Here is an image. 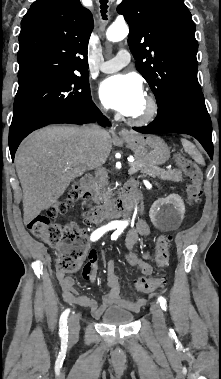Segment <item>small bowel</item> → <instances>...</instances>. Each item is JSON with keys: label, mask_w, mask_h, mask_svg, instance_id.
Wrapping results in <instances>:
<instances>
[{"label": "small bowel", "mask_w": 221, "mask_h": 379, "mask_svg": "<svg viewBox=\"0 0 221 379\" xmlns=\"http://www.w3.org/2000/svg\"><path fill=\"white\" fill-rule=\"evenodd\" d=\"M150 234V227L145 220L140 219L131 229H129L125 238V247L128 250V254L126 256L128 262L131 265L138 267L144 275H150L153 272V268L148 261L150 253L149 251L138 253L136 250V245L139 236H149ZM99 260L100 253H97L95 250H90L88 264H83L80 269L81 274H85L83 276L86 282L95 283L97 271L99 270ZM57 279L62 290L63 299L68 303L77 304L90 309L92 315L96 318L100 317L111 305H120L135 311L138 310L144 303V300L142 299L130 301L121 297L120 281L112 259L107 262L106 284L108 287V292L103 296L101 303H98L95 299L87 295L79 294L74 288V279L67 276L64 272L58 270Z\"/></svg>", "instance_id": "1"}]
</instances>
